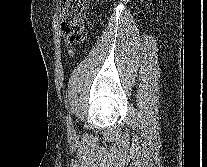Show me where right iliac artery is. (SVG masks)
Returning <instances> with one entry per match:
<instances>
[{"instance_id":"82829eb1","label":"right iliac artery","mask_w":207,"mask_h":167,"mask_svg":"<svg viewBox=\"0 0 207 167\" xmlns=\"http://www.w3.org/2000/svg\"><path fill=\"white\" fill-rule=\"evenodd\" d=\"M67 128L69 132H73L72 122L70 116H67Z\"/></svg>"}]
</instances>
